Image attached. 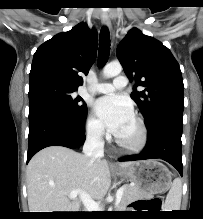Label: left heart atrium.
<instances>
[{"instance_id":"1","label":"left heart atrium","mask_w":203,"mask_h":219,"mask_svg":"<svg viewBox=\"0 0 203 219\" xmlns=\"http://www.w3.org/2000/svg\"><path fill=\"white\" fill-rule=\"evenodd\" d=\"M95 111L114 135H117L125 124L133 118V109L130 102L118 95L99 98L95 102Z\"/></svg>"}]
</instances>
